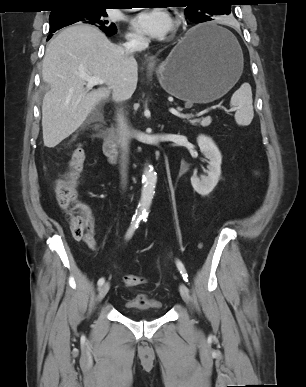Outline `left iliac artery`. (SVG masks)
Listing matches in <instances>:
<instances>
[{"mask_svg": "<svg viewBox=\"0 0 306 387\" xmlns=\"http://www.w3.org/2000/svg\"><path fill=\"white\" fill-rule=\"evenodd\" d=\"M144 221H146V219H144ZM176 265L184 281L188 282V275L182 262L180 260H176Z\"/></svg>", "mask_w": 306, "mask_h": 387, "instance_id": "left-iliac-artery-1", "label": "left iliac artery"}]
</instances>
